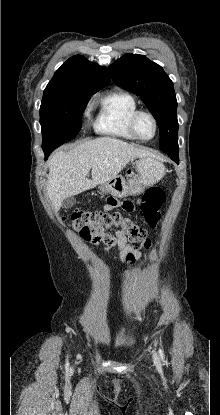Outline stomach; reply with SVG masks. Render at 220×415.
<instances>
[{
    "instance_id": "stomach-1",
    "label": "stomach",
    "mask_w": 220,
    "mask_h": 415,
    "mask_svg": "<svg viewBox=\"0 0 220 415\" xmlns=\"http://www.w3.org/2000/svg\"><path fill=\"white\" fill-rule=\"evenodd\" d=\"M165 174V166L153 157H144L136 161V174L125 179L121 175L101 184L102 193L117 198L141 194L145 188L157 183Z\"/></svg>"
}]
</instances>
